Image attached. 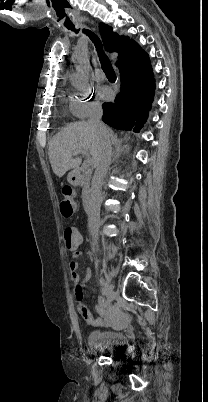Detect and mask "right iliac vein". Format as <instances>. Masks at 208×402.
<instances>
[{"mask_svg": "<svg viewBox=\"0 0 208 402\" xmlns=\"http://www.w3.org/2000/svg\"><path fill=\"white\" fill-rule=\"evenodd\" d=\"M105 287H106V289L108 291V302H109V304H111L113 302V300H114V297H115L113 286L106 281Z\"/></svg>", "mask_w": 208, "mask_h": 402, "instance_id": "obj_1", "label": "right iliac vein"}]
</instances>
